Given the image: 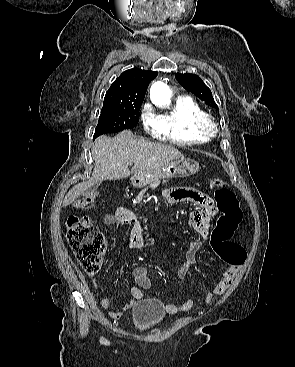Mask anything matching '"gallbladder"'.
I'll list each match as a JSON object with an SVG mask.
<instances>
[{"mask_svg":"<svg viewBox=\"0 0 295 367\" xmlns=\"http://www.w3.org/2000/svg\"><path fill=\"white\" fill-rule=\"evenodd\" d=\"M101 182H97L94 185H92L89 189H88V193L89 194H93L97 191V188L99 187Z\"/></svg>","mask_w":295,"mask_h":367,"instance_id":"gallbladder-1","label":"gallbladder"}]
</instances>
